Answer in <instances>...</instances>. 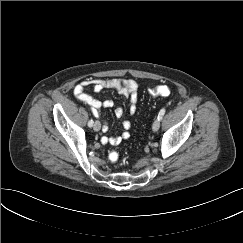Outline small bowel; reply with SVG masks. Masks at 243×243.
Masks as SVG:
<instances>
[{"mask_svg":"<svg viewBox=\"0 0 243 243\" xmlns=\"http://www.w3.org/2000/svg\"><path fill=\"white\" fill-rule=\"evenodd\" d=\"M91 87L95 92H100L104 89H114L122 96L129 98L130 106L129 113L134 114L137 108V100H138V82L132 79H87L79 84H77L74 88V96L80 102H83L89 105L95 114V116H99V112L103 108H111L114 105V102L111 99H106L104 101H100L90 94L86 92V88ZM116 117H121L123 115V109L117 108L115 110ZM122 126L124 128V132L118 136L112 137H103L102 143L118 145L122 140L127 139L129 137L128 130L131 127V123L128 120H124L122 122ZM109 126L105 122L103 125V131H108Z\"/></svg>","mask_w":243,"mask_h":243,"instance_id":"small-bowel-1","label":"small bowel"}]
</instances>
